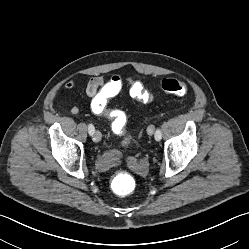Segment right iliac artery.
I'll return each instance as SVG.
<instances>
[{
	"label": "right iliac artery",
	"instance_id": "1",
	"mask_svg": "<svg viewBox=\"0 0 249 249\" xmlns=\"http://www.w3.org/2000/svg\"><path fill=\"white\" fill-rule=\"evenodd\" d=\"M94 131H95L94 126L92 124H89L88 125V132H89V134L93 135Z\"/></svg>",
	"mask_w": 249,
	"mask_h": 249
}]
</instances>
